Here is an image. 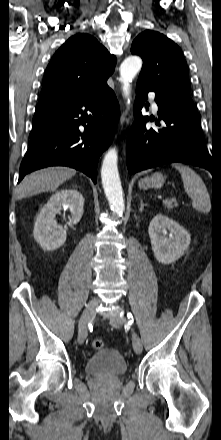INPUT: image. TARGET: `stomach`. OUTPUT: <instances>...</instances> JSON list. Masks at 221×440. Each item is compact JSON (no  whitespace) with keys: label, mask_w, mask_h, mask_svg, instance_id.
Listing matches in <instances>:
<instances>
[{"label":"stomach","mask_w":221,"mask_h":440,"mask_svg":"<svg viewBox=\"0 0 221 440\" xmlns=\"http://www.w3.org/2000/svg\"><path fill=\"white\" fill-rule=\"evenodd\" d=\"M163 184H164V176L159 172L152 174L151 177H146L141 181H139V187L143 189L161 188Z\"/></svg>","instance_id":"0dacf381"}]
</instances>
